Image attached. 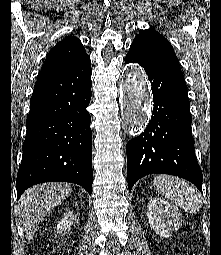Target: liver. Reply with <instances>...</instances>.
<instances>
[{"label":"liver","instance_id":"obj_1","mask_svg":"<svg viewBox=\"0 0 221 255\" xmlns=\"http://www.w3.org/2000/svg\"><path fill=\"white\" fill-rule=\"evenodd\" d=\"M71 192L72 187L67 183L39 184L24 192L15 212L29 242L33 240L40 220Z\"/></svg>","mask_w":221,"mask_h":255}]
</instances>
